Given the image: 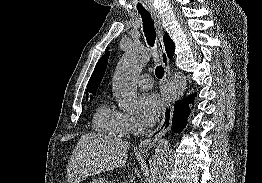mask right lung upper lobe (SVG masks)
Listing matches in <instances>:
<instances>
[{"label":"right lung upper lobe","instance_id":"1","mask_svg":"<svg viewBox=\"0 0 262 183\" xmlns=\"http://www.w3.org/2000/svg\"><path fill=\"white\" fill-rule=\"evenodd\" d=\"M164 43H165L166 53L168 57L171 59L174 54L175 46L173 41L170 39V37L167 34L164 35ZM108 56H109V52L103 55L102 58L97 62L96 67L92 73V76L88 82L87 92H92L93 94L96 93V89L99 86L107 67Z\"/></svg>","mask_w":262,"mask_h":183}]
</instances>
